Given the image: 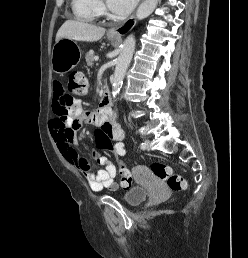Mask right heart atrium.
I'll return each instance as SVG.
<instances>
[{
  "label": "right heart atrium",
  "instance_id": "right-heart-atrium-1",
  "mask_svg": "<svg viewBox=\"0 0 248 258\" xmlns=\"http://www.w3.org/2000/svg\"><path fill=\"white\" fill-rule=\"evenodd\" d=\"M99 9L100 11H103V5L99 2Z\"/></svg>",
  "mask_w": 248,
  "mask_h": 258
}]
</instances>
